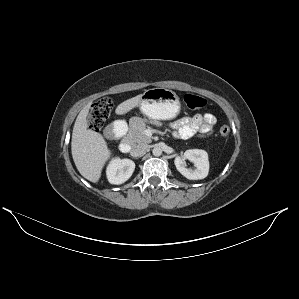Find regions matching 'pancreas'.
Masks as SVG:
<instances>
[{
    "mask_svg": "<svg viewBox=\"0 0 299 299\" xmlns=\"http://www.w3.org/2000/svg\"><path fill=\"white\" fill-rule=\"evenodd\" d=\"M145 122L156 125L160 127L162 125L161 122L157 120H141L138 124L131 122L130 131H129V139L132 142L139 144H149L152 142V139L145 135V130L148 127Z\"/></svg>",
    "mask_w": 299,
    "mask_h": 299,
    "instance_id": "cf45deb5",
    "label": "pancreas"
}]
</instances>
